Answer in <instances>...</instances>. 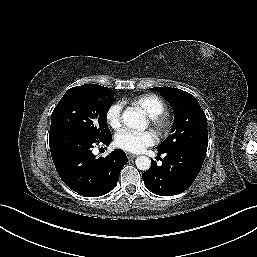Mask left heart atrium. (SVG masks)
Here are the masks:
<instances>
[{
    "label": "left heart atrium",
    "mask_w": 257,
    "mask_h": 257,
    "mask_svg": "<svg viewBox=\"0 0 257 257\" xmlns=\"http://www.w3.org/2000/svg\"><path fill=\"white\" fill-rule=\"evenodd\" d=\"M157 142L156 135L151 131H135L123 129L115 136V145L128 152L140 153Z\"/></svg>",
    "instance_id": "1"
}]
</instances>
